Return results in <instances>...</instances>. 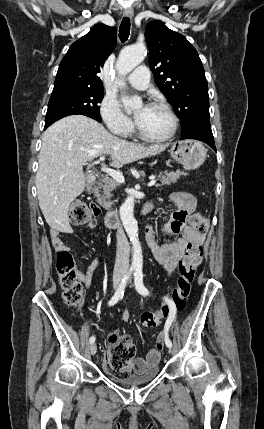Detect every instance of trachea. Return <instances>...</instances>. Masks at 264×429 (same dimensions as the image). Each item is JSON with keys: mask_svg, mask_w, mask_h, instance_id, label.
Instances as JSON below:
<instances>
[{"mask_svg": "<svg viewBox=\"0 0 264 429\" xmlns=\"http://www.w3.org/2000/svg\"><path fill=\"white\" fill-rule=\"evenodd\" d=\"M130 34V19L128 17L123 18L119 28V38L122 42H125Z\"/></svg>", "mask_w": 264, "mask_h": 429, "instance_id": "3493384b", "label": "trachea"}]
</instances>
